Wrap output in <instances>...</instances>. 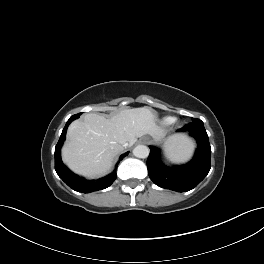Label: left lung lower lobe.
<instances>
[{
	"mask_svg": "<svg viewBox=\"0 0 264 264\" xmlns=\"http://www.w3.org/2000/svg\"><path fill=\"white\" fill-rule=\"evenodd\" d=\"M188 131L196 139L198 148L194 158L186 165L166 167L160 160V151L149 146L147 159L150 179L159 187L186 192L196 187L208 174L211 163V147L202 121L192 122L177 132Z\"/></svg>",
	"mask_w": 264,
	"mask_h": 264,
	"instance_id": "obj_1",
	"label": "left lung lower lobe"
}]
</instances>
